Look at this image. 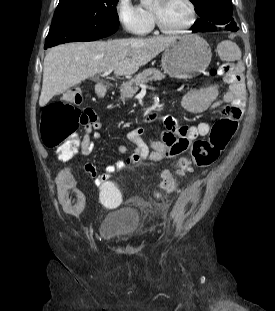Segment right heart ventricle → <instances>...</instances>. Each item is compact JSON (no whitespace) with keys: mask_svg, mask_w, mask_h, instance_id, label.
Instances as JSON below:
<instances>
[{"mask_svg":"<svg viewBox=\"0 0 275 311\" xmlns=\"http://www.w3.org/2000/svg\"><path fill=\"white\" fill-rule=\"evenodd\" d=\"M141 8V10L150 18V21H151V27H150V29L153 27V17H152V14H151V11L149 10V9H147V8H145V7H143V6H141L140 7ZM149 29V30H150ZM148 30V31H149Z\"/></svg>","mask_w":275,"mask_h":311,"instance_id":"right-heart-ventricle-1","label":"right heart ventricle"}]
</instances>
